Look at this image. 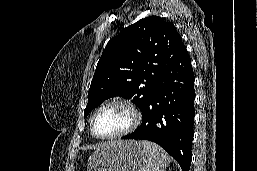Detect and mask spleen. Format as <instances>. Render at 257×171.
<instances>
[{
  "label": "spleen",
  "instance_id": "spleen-1",
  "mask_svg": "<svg viewBox=\"0 0 257 171\" xmlns=\"http://www.w3.org/2000/svg\"><path fill=\"white\" fill-rule=\"evenodd\" d=\"M139 144L145 150L147 163L144 171H165L170 162L168 154L157 144L149 141H140Z\"/></svg>",
  "mask_w": 257,
  "mask_h": 171
}]
</instances>
